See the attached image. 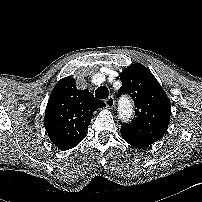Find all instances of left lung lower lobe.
I'll return each mask as SVG.
<instances>
[{"instance_id":"left-lung-lower-lobe-1","label":"left lung lower lobe","mask_w":202,"mask_h":202,"mask_svg":"<svg viewBox=\"0 0 202 202\" xmlns=\"http://www.w3.org/2000/svg\"><path fill=\"white\" fill-rule=\"evenodd\" d=\"M121 135H122V138L127 143L137 148H145L155 142L154 140H151V139L141 138V137L132 135L129 132L122 129H121Z\"/></svg>"}]
</instances>
